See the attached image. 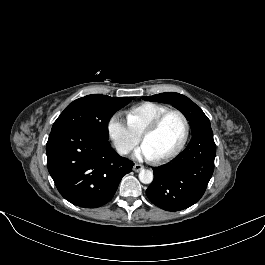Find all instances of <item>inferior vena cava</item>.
<instances>
[{"mask_svg": "<svg viewBox=\"0 0 265 265\" xmlns=\"http://www.w3.org/2000/svg\"><path fill=\"white\" fill-rule=\"evenodd\" d=\"M115 148L119 155H125L129 152V148L123 143H116Z\"/></svg>", "mask_w": 265, "mask_h": 265, "instance_id": "inferior-vena-cava-1", "label": "inferior vena cava"}]
</instances>
